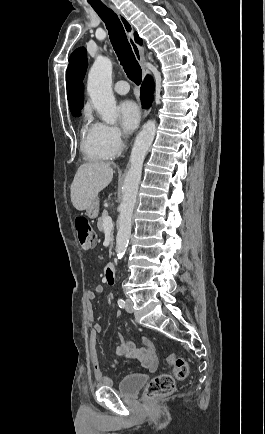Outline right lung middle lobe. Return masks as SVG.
I'll use <instances>...</instances> for the list:
<instances>
[{
    "mask_svg": "<svg viewBox=\"0 0 265 434\" xmlns=\"http://www.w3.org/2000/svg\"><path fill=\"white\" fill-rule=\"evenodd\" d=\"M70 111L74 117H78L81 114V109L83 108V103H77L70 105Z\"/></svg>",
    "mask_w": 265,
    "mask_h": 434,
    "instance_id": "1",
    "label": "right lung middle lobe"
}]
</instances>
